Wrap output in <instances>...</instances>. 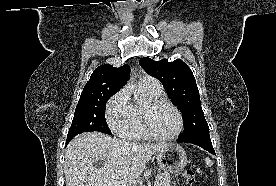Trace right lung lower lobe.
I'll return each mask as SVG.
<instances>
[{
    "label": "right lung lower lobe",
    "instance_id": "98d812e1",
    "mask_svg": "<svg viewBox=\"0 0 276 186\" xmlns=\"http://www.w3.org/2000/svg\"><path fill=\"white\" fill-rule=\"evenodd\" d=\"M77 134H73V135H68L67 136V140H66V145L69 143V141L74 137L76 136Z\"/></svg>",
    "mask_w": 276,
    "mask_h": 186
}]
</instances>
